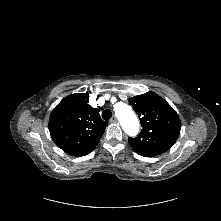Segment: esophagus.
Here are the masks:
<instances>
[{
  "mask_svg": "<svg viewBox=\"0 0 221 221\" xmlns=\"http://www.w3.org/2000/svg\"><path fill=\"white\" fill-rule=\"evenodd\" d=\"M110 122H112V123L117 122V118L115 116H112V118L110 119Z\"/></svg>",
  "mask_w": 221,
  "mask_h": 221,
  "instance_id": "obj_1",
  "label": "esophagus"
}]
</instances>
